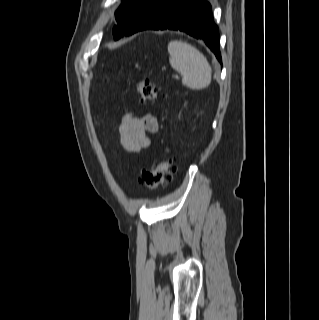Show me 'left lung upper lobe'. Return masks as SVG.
I'll return each mask as SVG.
<instances>
[{"instance_id": "1", "label": "left lung upper lobe", "mask_w": 319, "mask_h": 320, "mask_svg": "<svg viewBox=\"0 0 319 320\" xmlns=\"http://www.w3.org/2000/svg\"><path fill=\"white\" fill-rule=\"evenodd\" d=\"M158 0H123L115 13L117 25L113 28L114 39L126 35L134 22Z\"/></svg>"}]
</instances>
